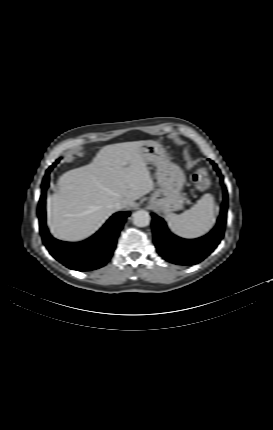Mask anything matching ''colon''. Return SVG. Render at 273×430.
I'll return each mask as SVG.
<instances>
[{"label":"colon","mask_w":273,"mask_h":430,"mask_svg":"<svg viewBox=\"0 0 273 430\" xmlns=\"http://www.w3.org/2000/svg\"><path fill=\"white\" fill-rule=\"evenodd\" d=\"M193 182L195 186L201 190L205 191L210 187L211 180L206 170L200 169L193 175Z\"/></svg>","instance_id":"5ec220e1"}]
</instances>
